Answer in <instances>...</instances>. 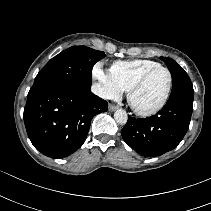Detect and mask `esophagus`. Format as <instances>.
<instances>
[{
	"mask_svg": "<svg viewBox=\"0 0 211 211\" xmlns=\"http://www.w3.org/2000/svg\"><path fill=\"white\" fill-rule=\"evenodd\" d=\"M118 107L116 105L110 104L109 105V111H115Z\"/></svg>",
	"mask_w": 211,
	"mask_h": 211,
	"instance_id": "obj_1",
	"label": "esophagus"
}]
</instances>
